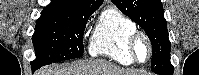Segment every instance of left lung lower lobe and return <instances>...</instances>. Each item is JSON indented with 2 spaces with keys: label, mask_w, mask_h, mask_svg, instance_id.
<instances>
[{
  "label": "left lung lower lobe",
  "mask_w": 199,
  "mask_h": 75,
  "mask_svg": "<svg viewBox=\"0 0 199 75\" xmlns=\"http://www.w3.org/2000/svg\"><path fill=\"white\" fill-rule=\"evenodd\" d=\"M173 71L174 70H171V71H168V72H160L158 73L159 75H173ZM157 74V73H156Z\"/></svg>",
  "instance_id": "1"
}]
</instances>
